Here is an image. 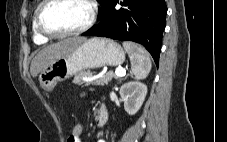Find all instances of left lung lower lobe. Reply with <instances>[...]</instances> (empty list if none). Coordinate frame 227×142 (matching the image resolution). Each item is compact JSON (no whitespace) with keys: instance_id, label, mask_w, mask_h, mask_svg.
<instances>
[{"instance_id":"0a47b994","label":"left lung lower lobe","mask_w":227,"mask_h":142,"mask_svg":"<svg viewBox=\"0 0 227 142\" xmlns=\"http://www.w3.org/2000/svg\"><path fill=\"white\" fill-rule=\"evenodd\" d=\"M110 0L102 10L100 23L84 32V36H101L140 43L159 63L162 34L167 7L165 0Z\"/></svg>"}]
</instances>
